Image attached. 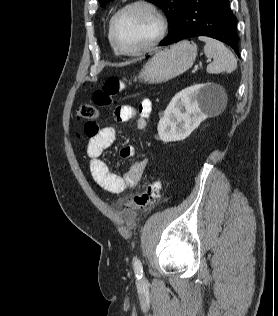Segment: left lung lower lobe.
Returning a JSON list of instances; mask_svg holds the SVG:
<instances>
[{"label": "left lung lower lobe", "mask_w": 278, "mask_h": 316, "mask_svg": "<svg viewBox=\"0 0 278 316\" xmlns=\"http://www.w3.org/2000/svg\"><path fill=\"white\" fill-rule=\"evenodd\" d=\"M196 36L220 40L231 46L239 56L236 17L228 0H185L176 26L159 45Z\"/></svg>", "instance_id": "1"}]
</instances>
